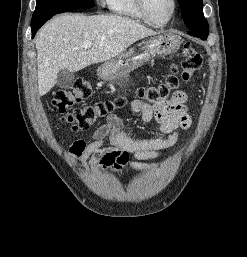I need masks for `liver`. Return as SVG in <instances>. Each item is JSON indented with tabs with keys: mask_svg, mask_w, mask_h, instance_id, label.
I'll return each instance as SVG.
<instances>
[{
	"mask_svg": "<svg viewBox=\"0 0 247 257\" xmlns=\"http://www.w3.org/2000/svg\"><path fill=\"white\" fill-rule=\"evenodd\" d=\"M156 32L138 22L117 15H59L48 22L36 37L39 95L56 84L58 72L80 71L111 60L136 41ZM92 41L84 50L82 44Z\"/></svg>",
	"mask_w": 247,
	"mask_h": 257,
	"instance_id": "6515ba94",
	"label": "liver"
}]
</instances>
